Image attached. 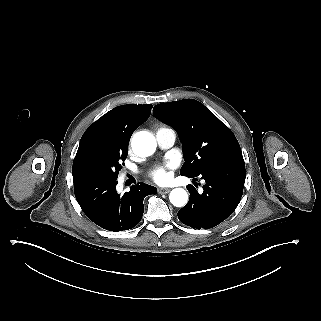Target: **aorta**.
<instances>
[{
    "label": "aorta",
    "instance_id": "762f6f07",
    "mask_svg": "<svg viewBox=\"0 0 321 321\" xmlns=\"http://www.w3.org/2000/svg\"><path fill=\"white\" fill-rule=\"evenodd\" d=\"M132 150L138 156H150L156 150L155 137L146 131L137 132L132 138ZM169 200L175 207H183L188 201V194L183 188H175L169 195Z\"/></svg>",
    "mask_w": 321,
    "mask_h": 321
}]
</instances>
